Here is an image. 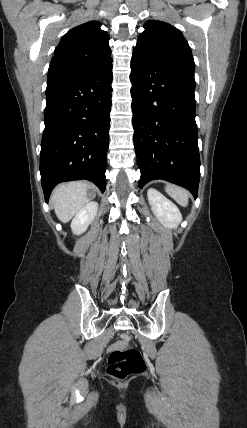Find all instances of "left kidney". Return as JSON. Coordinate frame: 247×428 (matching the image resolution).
<instances>
[{
	"label": "left kidney",
	"instance_id": "5707ae66",
	"mask_svg": "<svg viewBox=\"0 0 247 428\" xmlns=\"http://www.w3.org/2000/svg\"><path fill=\"white\" fill-rule=\"evenodd\" d=\"M148 201L156 218L167 228L175 229L182 221L177 206L154 188L147 191Z\"/></svg>",
	"mask_w": 247,
	"mask_h": 428
}]
</instances>
